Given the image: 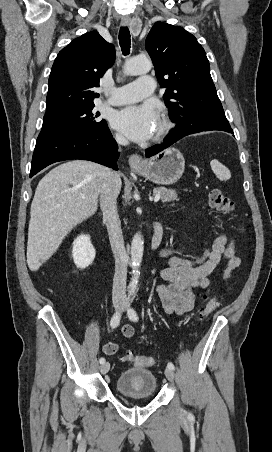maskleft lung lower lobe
Returning a JSON list of instances; mask_svg holds the SVG:
<instances>
[{"instance_id": "1", "label": "left lung lower lobe", "mask_w": 272, "mask_h": 452, "mask_svg": "<svg viewBox=\"0 0 272 452\" xmlns=\"http://www.w3.org/2000/svg\"><path fill=\"white\" fill-rule=\"evenodd\" d=\"M209 130H222V131H226L228 133L233 134V130L231 129V127L213 129V128H190V127H177L176 126V129L173 131H170V133L166 136V141L163 144L155 145L153 147L146 149V151H145L146 157L149 158V157L159 153L160 151L171 146L173 143H175L176 141H178L179 139H181L184 136H187V135L193 134V133L202 132V131H209Z\"/></svg>"}]
</instances>
